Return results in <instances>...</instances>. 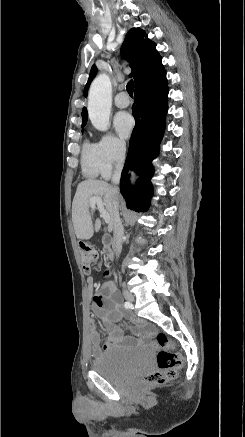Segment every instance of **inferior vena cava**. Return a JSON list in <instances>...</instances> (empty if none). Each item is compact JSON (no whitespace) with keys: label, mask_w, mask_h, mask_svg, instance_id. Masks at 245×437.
Wrapping results in <instances>:
<instances>
[{"label":"inferior vena cava","mask_w":245,"mask_h":437,"mask_svg":"<svg viewBox=\"0 0 245 437\" xmlns=\"http://www.w3.org/2000/svg\"><path fill=\"white\" fill-rule=\"evenodd\" d=\"M124 159H125V145L121 144L119 146V149H118L117 162H116L115 171H114V174L112 177V183L114 185L113 188H114L115 192H118L117 185L120 182L121 171L123 168ZM113 207H114V236H113V240H112V248H113V251H114L116 257H119L121 250H122V236H123L124 228H123L120 216H119L118 200L116 198L113 202Z\"/></svg>","instance_id":"inferior-vena-cava-1"}]
</instances>
